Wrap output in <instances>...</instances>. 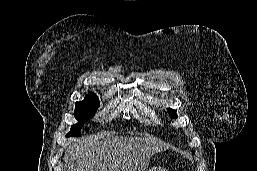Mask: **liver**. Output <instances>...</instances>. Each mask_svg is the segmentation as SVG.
<instances>
[{
  "instance_id": "1",
  "label": "liver",
  "mask_w": 257,
  "mask_h": 171,
  "mask_svg": "<svg viewBox=\"0 0 257 171\" xmlns=\"http://www.w3.org/2000/svg\"><path fill=\"white\" fill-rule=\"evenodd\" d=\"M72 139L64 154L65 171H148L150 157L164 145L150 137L106 133Z\"/></svg>"
}]
</instances>
